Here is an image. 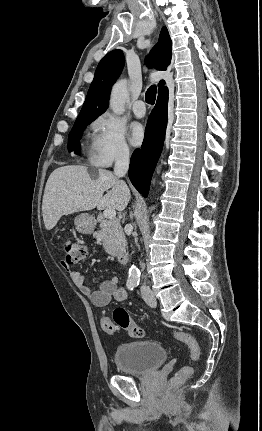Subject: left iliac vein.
<instances>
[{"label":"left iliac vein","mask_w":262,"mask_h":431,"mask_svg":"<svg viewBox=\"0 0 262 431\" xmlns=\"http://www.w3.org/2000/svg\"><path fill=\"white\" fill-rule=\"evenodd\" d=\"M143 298L149 306L156 307V305H157L156 298L152 292L149 294H145L143 296Z\"/></svg>","instance_id":"4c4485c4"}]
</instances>
